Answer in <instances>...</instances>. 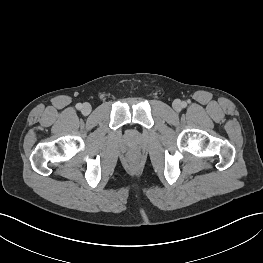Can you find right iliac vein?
Returning <instances> with one entry per match:
<instances>
[{
  "mask_svg": "<svg viewBox=\"0 0 263 263\" xmlns=\"http://www.w3.org/2000/svg\"><path fill=\"white\" fill-rule=\"evenodd\" d=\"M92 110V107L89 103H84L81 108V112L83 115H89Z\"/></svg>",
  "mask_w": 263,
  "mask_h": 263,
  "instance_id": "right-iliac-vein-1",
  "label": "right iliac vein"
}]
</instances>
